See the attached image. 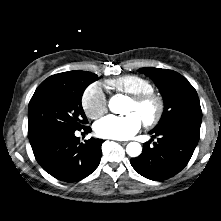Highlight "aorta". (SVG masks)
<instances>
[{"label": "aorta", "mask_w": 221, "mask_h": 221, "mask_svg": "<svg viewBox=\"0 0 221 221\" xmlns=\"http://www.w3.org/2000/svg\"><path fill=\"white\" fill-rule=\"evenodd\" d=\"M119 96H113L109 102V108L111 111L116 110V105L118 102ZM126 152L131 157H137L142 152V147L138 142H130L126 147Z\"/></svg>", "instance_id": "aorta-1"}]
</instances>
